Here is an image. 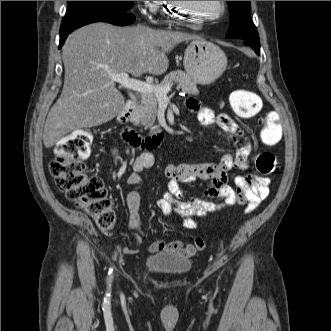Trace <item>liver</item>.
I'll return each mask as SVG.
<instances>
[{
	"label": "liver",
	"instance_id": "1",
	"mask_svg": "<svg viewBox=\"0 0 331 331\" xmlns=\"http://www.w3.org/2000/svg\"><path fill=\"white\" fill-rule=\"evenodd\" d=\"M195 39L200 38L146 26L122 28L105 23L74 31L63 46L64 85L47 116L45 147H52L75 129L106 123L123 110L124 97L111 74H163L169 66L166 53L180 42Z\"/></svg>",
	"mask_w": 331,
	"mask_h": 331
}]
</instances>
